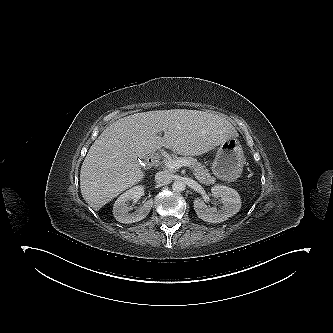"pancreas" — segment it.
<instances>
[{"label":"pancreas","mask_w":333,"mask_h":333,"mask_svg":"<svg viewBox=\"0 0 333 333\" xmlns=\"http://www.w3.org/2000/svg\"><path fill=\"white\" fill-rule=\"evenodd\" d=\"M175 160H185L190 163L195 178L202 184L210 185L215 183V178L210 175L209 170L204 167L197 159L192 157H181Z\"/></svg>","instance_id":"pancreas-1"}]
</instances>
